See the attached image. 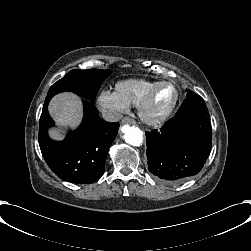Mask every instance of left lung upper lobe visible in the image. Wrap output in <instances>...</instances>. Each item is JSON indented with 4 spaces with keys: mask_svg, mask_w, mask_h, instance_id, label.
<instances>
[{
    "mask_svg": "<svg viewBox=\"0 0 251 251\" xmlns=\"http://www.w3.org/2000/svg\"><path fill=\"white\" fill-rule=\"evenodd\" d=\"M187 113H199L209 116L204 100L191 90L187 91L186 98L175 116Z\"/></svg>",
    "mask_w": 251,
    "mask_h": 251,
    "instance_id": "1",
    "label": "left lung upper lobe"
}]
</instances>
